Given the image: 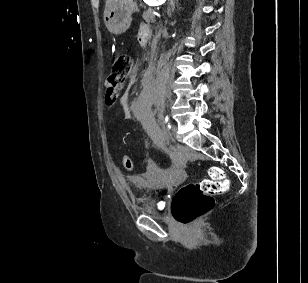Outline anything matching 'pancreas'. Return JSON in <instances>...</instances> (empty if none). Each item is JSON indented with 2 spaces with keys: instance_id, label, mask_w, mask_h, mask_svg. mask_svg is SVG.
Returning a JSON list of instances; mask_svg holds the SVG:
<instances>
[{
  "instance_id": "obj_1",
  "label": "pancreas",
  "mask_w": 308,
  "mask_h": 283,
  "mask_svg": "<svg viewBox=\"0 0 308 283\" xmlns=\"http://www.w3.org/2000/svg\"><path fill=\"white\" fill-rule=\"evenodd\" d=\"M142 17L147 23L155 22V15L152 13L150 9L147 11H144L142 14Z\"/></svg>"
}]
</instances>
